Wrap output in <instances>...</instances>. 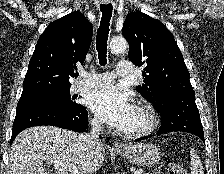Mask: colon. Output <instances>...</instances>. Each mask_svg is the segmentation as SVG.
<instances>
[{"mask_svg":"<svg viewBox=\"0 0 224 174\" xmlns=\"http://www.w3.org/2000/svg\"><path fill=\"white\" fill-rule=\"evenodd\" d=\"M168 174H187V172L180 164L171 163L168 166Z\"/></svg>","mask_w":224,"mask_h":174,"instance_id":"5ec220e1","label":"colon"}]
</instances>
